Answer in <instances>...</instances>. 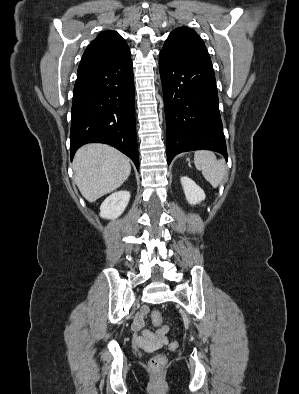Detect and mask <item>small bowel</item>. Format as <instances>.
I'll return each instance as SVG.
<instances>
[{
  "label": "small bowel",
  "mask_w": 299,
  "mask_h": 394,
  "mask_svg": "<svg viewBox=\"0 0 299 394\" xmlns=\"http://www.w3.org/2000/svg\"><path fill=\"white\" fill-rule=\"evenodd\" d=\"M148 312L149 309L147 306H142L138 312L133 322V341L139 348H142L147 352H153L167 344V333L169 328L167 325H160V322L157 323L154 321L155 325H157V329L155 331L145 329V320Z\"/></svg>",
  "instance_id": "1"
}]
</instances>
